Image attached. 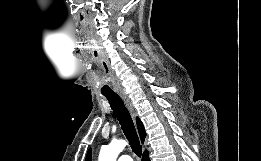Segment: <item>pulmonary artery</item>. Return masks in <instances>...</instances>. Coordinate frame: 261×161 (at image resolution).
Instances as JSON below:
<instances>
[{
  "label": "pulmonary artery",
  "instance_id": "obj_1",
  "mask_svg": "<svg viewBox=\"0 0 261 161\" xmlns=\"http://www.w3.org/2000/svg\"><path fill=\"white\" fill-rule=\"evenodd\" d=\"M118 161H132V159L128 155H121L119 156Z\"/></svg>",
  "mask_w": 261,
  "mask_h": 161
}]
</instances>
